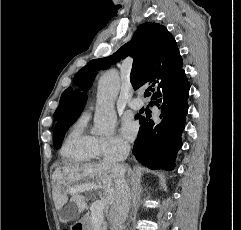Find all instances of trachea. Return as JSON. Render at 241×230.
I'll return each instance as SVG.
<instances>
[{
    "mask_svg": "<svg viewBox=\"0 0 241 230\" xmlns=\"http://www.w3.org/2000/svg\"><path fill=\"white\" fill-rule=\"evenodd\" d=\"M150 95V93L148 92V91H146L145 93H144V96H149Z\"/></svg>",
    "mask_w": 241,
    "mask_h": 230,
    "instance_id": "1",
    "label": "trachea"
}]
</instances>
